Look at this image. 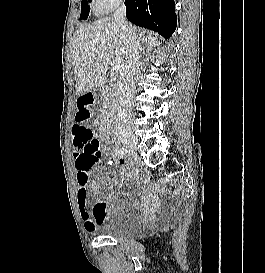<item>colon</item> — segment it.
Masks as SVG:
<instances>
[{"mask_svg":"<svg viewBox=\"0 0 265 273\" xmlns=\"http://www.w3.org/2000/svg\"><path fill=\"white\" fill-rule=\"evenodd\" d=\"M79 131L80 135L77 141V145L86 146V153L82 161V165H87L88 168L92 169L98 161V141L93 135L92 131L88 129H79Z\"/></svg>","mask_w":265,"mask_h":273,"instance_id":"colon-1","label":"colon"}]
</instances>
